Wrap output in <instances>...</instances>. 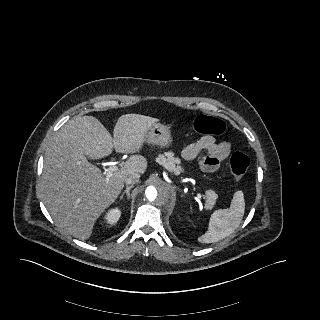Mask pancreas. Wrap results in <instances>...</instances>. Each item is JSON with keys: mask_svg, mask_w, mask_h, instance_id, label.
I'll return each instance as SVG.
<instances>
[{"mask_svg": "<svg viewBox=\"0 0 320 320\" xmlns=\"http://www.w3.org/2000/svg\"><path fill=\"white\" fill-rule=\"evenodd\" d=\"M156 161L176 175H179L184 171V169L179 166V164L181 163L180 159L174 157L173 152H165L164 154L159 155ZM206 198L207 203L205 207L208 209H212L214 207L216 199L218 198V195L214 191L208 190L206 191Z\"/></svg>", "mask_w": 320, "mask_h": 320, "instance_id": "cf45deb5", "label": "pancreas"}]
</instances>
